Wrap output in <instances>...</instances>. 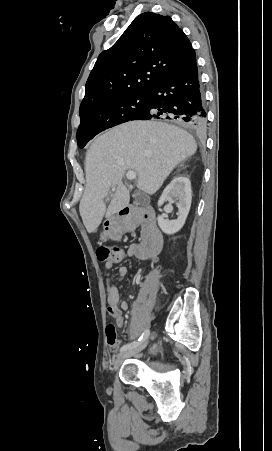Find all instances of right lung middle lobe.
I'll list each match as a JSON object with an SVG mask.
<instances>
[{
	"label": "right lung middle lobe",
	"mask_w": 272,
	"mask_h": 451,
	"mask_svg": "<svg viewBox=\"0 0 272 451\" xmlns=\"http://www.w3.org/2000/svg\"><path fill=\"white\" fill-rule=\"evenodd\" d=\"M148 104V94L132 95L106 101L80 113L78 146L83 148L98 133L137 119L147 111Z\"/></svg>",
	"instance_id": "dd1d6c3e"
}]
</instances>
